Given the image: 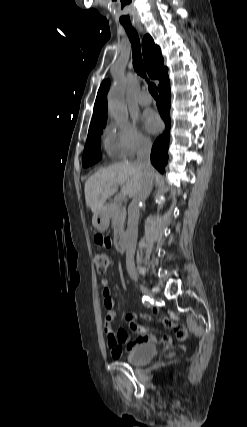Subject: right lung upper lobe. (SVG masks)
Instances as JSON below:
<instances>
[{
  "label": "right lung upper lobe",
  "mask_w": 247,
  "mask_h": 427,
  "mask_svg": "<svg viewBox=\"0 0 247 427\" xmlns=\"http://www.w3.org/2000/svg\"><path fill=\"white\" fill-rule=\"evenodd\" d=\"M144 63L147 72L152 79H158L160 85L168 80V68L164 67V60L160 48L154 44L150 35H145L142 41ZM158 86V87H159ZM109 89V81L104 80L98 90L94 105L93 117L90 128L106 123V95Z\"/></svg>",
  "instance_id": "1"
}]
</instances>
